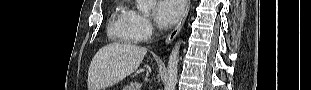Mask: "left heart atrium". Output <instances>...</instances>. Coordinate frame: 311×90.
Segmentation results:
<instances>
[{"label":"left heart atrium","instance_id":"obj_1","mask_svg":"<svg viewBox=\"0 0 311 90\" xmlns=\"http://www.w3.org/2000/svg\"><path fill=\"white\" fill-rule=\"evenodd\" d=\"M183 10L182 0H161L155 8V17L158 25L169 28L179 19Z\"/></svg>","mask_w":311,"mask_h":90}]
</instances>
